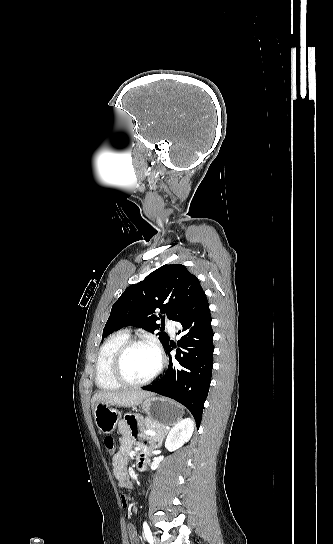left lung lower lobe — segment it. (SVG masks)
I'll return each mask as SVG.
<instances>
[{
	"instance_id": "obj_1",
	"label": "left lung lower lobe",
	"mask_w": 333,
	"mask_h": 544,
	"mask_svg": "<svg viewBox=\"0 0 333 544\" xmlns=\"http://www.w3.org/2000/svg\"><path fill=\"white\" fill-rule=\"evenodd\" d=\"M211 314L205 293L197 297L177 320L181 324L176 349L171 341L165 346L170 362L165 375L155 384L143 387L160 395L172 398L186 406L199 428L204 402L207 398L213 366V330Z\"/></svg>"
}]
</instances>
